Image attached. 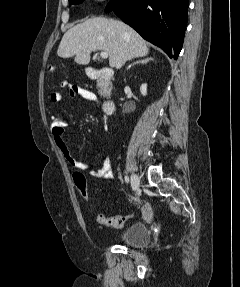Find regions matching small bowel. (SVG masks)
Returning <instances> with one entry per match:
<instances>
[{
  "mask_svg": "<svg viewBox=\"0 0 240 287\" xmlns=\"http://www.w3.org/2000/svg\"><path fill=\"white\" fill-rule=\"evenodd\" d=\"M62 87H68L69 88V94L71 97L74 98H83L85 100L91 101L95 103L97 106H99V101L97 99V96L82 87L79 86H68L67 83H63ZM51 101L54 103H60L63 99V96L59 92H54L51 94ZM53 140L63 155V157L66 159V161L75 169H78L80 171H88L91 176L98 177L102 179H109L113 176V167H112V160L110 156H107L101 167L99 169H92V165L82 162L79 159H77L73 153L71 152L68 144L65 141L64 135H53ZM140 214L143 219L148 220L150 219L152 212L149 206L144 205L140 207Z\"/></svg>",
  "mask_w": 240,
  "mask_h": 287,
  "instance_id": "1",
  "label": "small bowel"
}]
</instances>
